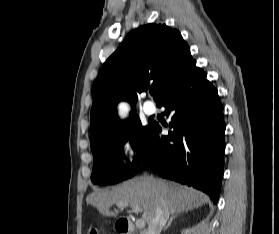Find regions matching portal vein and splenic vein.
I'll list each match as a JSON object with an SVG mask.
<instances>
[{"instance_id": "obj_1", "label": "portal vein and splenic vein", "mask_w": 279, "mask_h": 234, "mask_svg": "<svg viewBox=\"0 0 279 234\" xmlns=\"http://www.w3.org/2000/svg\"><path fill=\"white\" fill-rule=\"evenodd\" d=\"M127 206H128L127 203H125V204L124 203L118 204V207H120V208H124V207H127ZM131 208H132L133 211L142 212V208L140 206H138V205H131ZM144 226H145V221L143 219H138L136 221V227L143 228Z\"/></svg>"}]
</instances>
